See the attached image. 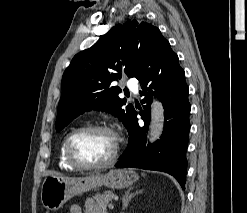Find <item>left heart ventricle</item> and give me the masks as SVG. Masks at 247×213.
I'll use <instances>...</instances> for the list:
<instances>
[{"label":"left heart ventricle","mask_w":247,"mask_h":213,"mask_svg":"<svg viewBox=\"0 0 247 213\" xmlns=\"http://www.w3.org/2000/svg\"><path fill=\"white\" fill-rule=\"evenodd\" d=\"M115 143V136L109 132H92L77 139L75 151L78 157L85 162L100 163L110 158Z\"/></svg>","instance_id":"b2bd125f"}]
</instances>
